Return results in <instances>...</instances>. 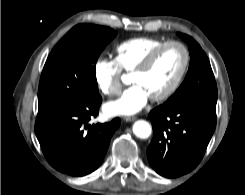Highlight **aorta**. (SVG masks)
I'll list each match as a JSON object with an SVG mask.
<instances>
[{"mask_svg": "<svg viewBox=\"0 0 245 195\" xmlns=\"http://www.w3.org/2000/svg\"><path fill=\"white\" fill-rule=\"evenodd\" d=\"M151 132V125L147 121L138 120L133 124V133L141 139L148 138Z\"/></svg>", "mask_w": 245, "mask_h": 195, "instance_id": "1", "label": "aorta"}]
</instances>
